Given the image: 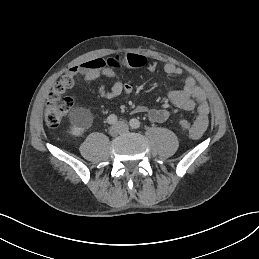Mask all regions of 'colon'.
I'll return each instance as SVG.
<instances>
[{
  "label": "colon",
  "instance_id": "obj_1",
  "mask_svg": "<svg viewBox=\"0 0 259 259\" xmlns=\"http://www.w3.org/2000/svg\"><path fill=\"white\" fill-rule=\"evenodd\" d=\"M73 87L74 78L70 75H65L54 84L48 95L45 107V120L48 126L58 127L73 107ZM177 123L181 132L190 133L192 131L193 125L188 117L180 116Z\"/></svg>",
  "mask_w": 259,
  "mask_h": 259
}]
</instances>
